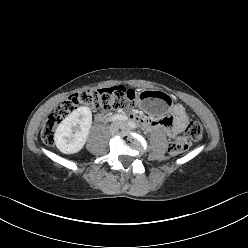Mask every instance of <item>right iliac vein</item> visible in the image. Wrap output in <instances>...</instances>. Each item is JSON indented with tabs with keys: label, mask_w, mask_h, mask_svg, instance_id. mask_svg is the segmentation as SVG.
Masks as SVG:
<instances>
[{
	"label": "right iliac vein",
	"mask_w": 248,
	"mask_h": 248,
	"mask_svg": "<svg viewBox=\"0 0 248 248\" xmlns=\"http://www.w3.org/2000/svg\"><path fill=\"white\" fill-rule=\"evenodd\" d=\"M118 130V125L114 124L110 127V133L113 134Z\"/></svg>",
	"instance_id": "obj_1"
}]
</instances>
